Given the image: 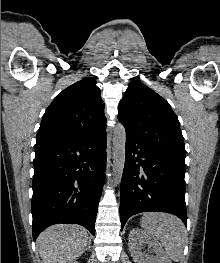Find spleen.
Listing matches in <instances>:
<instances>
[{"instance_id":"1","label":"spleen","mask_w":220,"mask_h":263,"mask_svg":"<svg viewBox=\"0 0 220 263\" xmlns=\"http://www.w3.org/2000/svg\"><path fill=\"white\" fill-rule=\"evenodd\" d=\"M141 226L157 237L171 260L178 262L186 242V229L183 222L171 214L145 213L141 218Z\"/></svg>"}]
</instances>
